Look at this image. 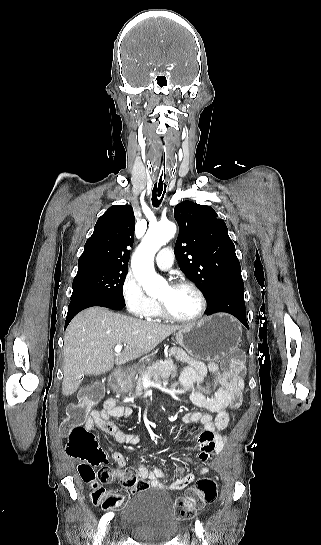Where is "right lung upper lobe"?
I'll return each instance as SVG.
<instances>
[{"instance_id":"obj_1","label":"right lung upper lobe","mask_w":321,"mask_h":545,"mask_svg":"<svg viewBox=\"0 0 321 545\" xmlns=\"http://www.w3.org/2000/svg\"><path fill=\"white\" fill-rule=\"evenodd\" d=\"M135 217L130 205H113L98 220L86 241L78 268L105 266L128 268L129 250L134 242Z\"/></svg>"}]
</instances>
